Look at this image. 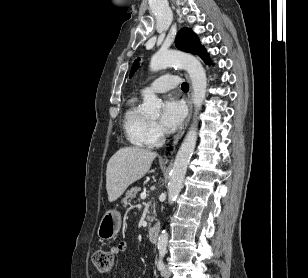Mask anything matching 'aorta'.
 I'll return each mask as SVG.
<instances>
[{"label":"aorta","mask_w":308,"mask_h":278,"mask_svg":"<svg viewBox=\"0 0 308 278\" xmlns=\"http://www.w3.org/2000/svg\"><path fill=\"white\" fill-rule=\"evenodd\" d=\"M170 66H178L188 72L193 89L192 99L195 109L194 122L189 128V131L181 144L171 171V179L168 185V202L171 205L177 199L182 189L187 166L196 146L197 122L195 117L197 116L205 99L207 78L200 61L194 56L180 51H159L152 56L149 65L150 70L153 72L160 71ZM160 107L161 102L155 94L148 93L144 95L143 111L145 114L150 117H157L160 114ZM167 243L168 233L166 230H163L158 238V249L165 250Z\"/></svg>","instance_id":"obj_1"}]
</instances>
